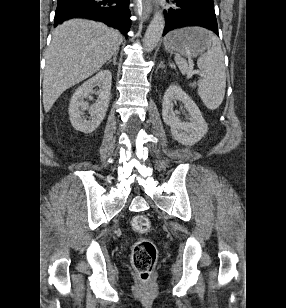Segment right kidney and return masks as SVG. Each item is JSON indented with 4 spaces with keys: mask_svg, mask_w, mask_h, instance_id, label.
Segmentation results:
<instances>
[{
    "mask_svg": "<svg viewBox=\"0 0 286 308\" xmlns=\"http://www.w3.org/2000/svg\"><path fill=\"white\" fill-rule=\"evenodd\" d=\"M111 83V72L102 70L76 89L70 99L68 109L70 122L76 130L89 134L101 124L110 102ZM95 86L99 87L96 92L98 99L96 103L89 106L84 99L93 93ZM85 110H88L90 114L88 120L83 117Z\"/></svg>",
    "mask_w": 286,
    "mask_h": 308,
    "instance_id": "right-kidney-1",
    "label": "right kidney"
}]
</instances>
